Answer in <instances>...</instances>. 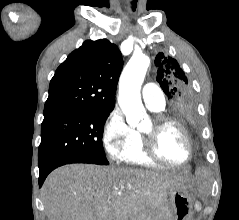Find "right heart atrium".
Returning <instances> with one entry per match:
<instances>
[{"mask_svg": "<svg viewBox=\"0 0 239 220\" xmlns=\"http://www.w3.org/2000/svg\"><path fill=\"white\" fill-rule=\"evenodd\" d=\"M136 140V131L125 120L122 111L113 108L104 123L102 141L112 159H120L126 148Z\"/></svg>", "mask_w": 239, "mask_h": 220, "instance_id": "obj_1", "label": "right heart atrium"}]
</instances>
